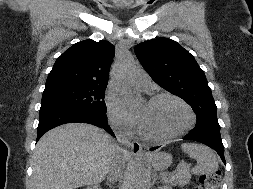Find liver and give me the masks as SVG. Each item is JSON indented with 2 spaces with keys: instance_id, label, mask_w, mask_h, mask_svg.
<instances>
[{
  "instance_id": "obj_1",
  "label": "liver",
  "mask_w": 253,
  "mask_h": 189,
  "mask_svg": "<svg viewBox=\"0 0 253 189\" xmlns=\"http://www.w3.org/2000/svg\"><path fill=\"white\" fill-rule=\"evenodd\" d=\"M129 153L102 129L69 123L56 127L38 141L33 157V189H75L102 182L116 160Z\"/></svg>"
}]
</instances>
